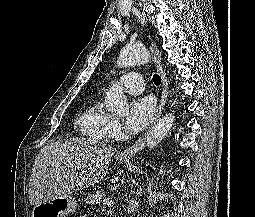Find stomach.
I'll use <instances>...</instances> for the list:
<instances>
[{
	"label": "stomach",
	"instance_id": "0dacf381",
	"mask_svg": "<svg viewBox=\"0 0 255 217\" xmlns=\"http://www.w3.org/2000/svg\"><path fill=\"white\" fill-rule=\"evenodd\" d=\"M118 162L124 163L126 159L119 158ZM76 207V201L70 196H57L34 206L32 217H67Z\"/></svg>",
	"mask_w": 255,
	"mask_h": 217
}]
</instances>
